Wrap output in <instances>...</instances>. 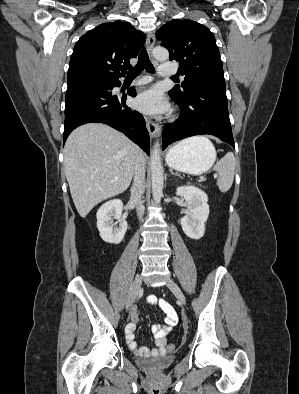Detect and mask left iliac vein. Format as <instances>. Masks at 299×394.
<instances>
[{
    "instance_id": "left-iliac-vein-1",
    "label": "left iliac vein",
    "mask_w": 299,
    "mask_h": 394,
    "mask_svg": "<svg viewBox=\"0 0 299 394\" xmlns=\"http://www.w3.org/2000/svg\"><path fill=\"white\" fill-rule=\"evenodd\" d=\"M167 287L175 294V296L177 297V299L182 303L185 304L186 300H185V296L182 293L181 289L178 287V285L171 279H168L167 281Z\"/></svg>"
}]
</instances>
